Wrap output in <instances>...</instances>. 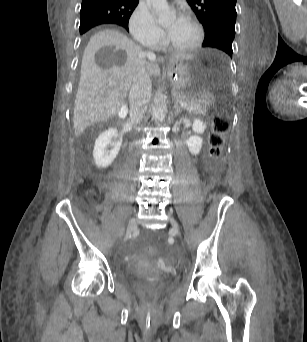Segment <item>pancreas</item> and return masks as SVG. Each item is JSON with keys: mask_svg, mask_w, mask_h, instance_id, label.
<instances>
[{"mask_svg": "<svg viewBox=\"0 0 307 342\" xmlns=\"http://www.w3.org/2000/svg\"><path fill=\"white\" fill-rule=\"evenodd\" d=\"M176 99L178 101H183L184 104H189L190 107H196L198 110H206L208 108V105L203 103L202 97H195L194 100H192L191 97H185L183 94H178Z\"/></svg>", "mask_w": 307, "mask_h": 342, "instance_id": "cf45deb5", "label": "pancreas"}]
</instances>
